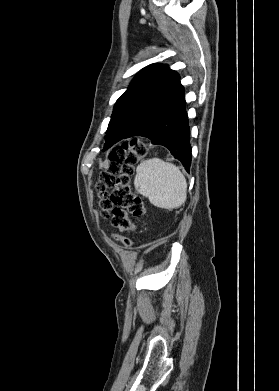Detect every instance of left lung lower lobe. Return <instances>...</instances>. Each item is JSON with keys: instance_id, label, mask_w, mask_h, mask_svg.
<instances>
[{"instance_id": "obj_1", "label": "left lung lower lobe", "mask_w": 279, "mask_h": 391, "mask_svg": "<svg viewBox=\"0 0 279 391\" xmlns=\"http://www.w3.org/2000/svg\"><path fill=\"white\" fill-rule=\"evenodd\" d=\"M185 105L183 95L173 106L135 135L147 137L153 144L165 146L189 171L191 145Z\"/></svg>"}]
</instances>
